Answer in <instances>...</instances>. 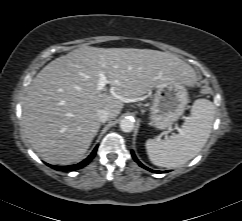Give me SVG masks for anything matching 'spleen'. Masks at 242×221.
Returning <instances> with one entry per match:
<instances>
[{
    "mask_svg": "<svg viewBox=\"0 0 242 221\" xmlns=\"http://www.w3.org/2000/svg\"><path fill=\"white\" fill-rule=\"evenodd\" d=\"M215 106L207 99L196 100L191 116L178 134L166 140L148 139L146 151L150 161L160 167H180L194 158L205 146L213 126Z\"/></svg>",
    "mask_w": 242,
    "mask_h": 221,
    "instance_id": "obj_1",
    "label": "spleen"
}]
</instances>
